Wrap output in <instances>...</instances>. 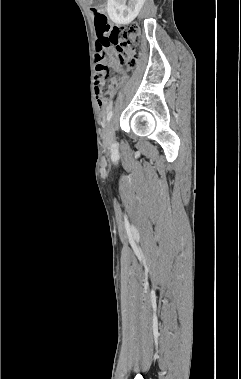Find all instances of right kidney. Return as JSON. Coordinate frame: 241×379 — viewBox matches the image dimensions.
I'll return each mask as SVG.
<instances>
[{"instance_id": "ca27d5eb", "label": "right kidney", "mask_w": 241, "mask_h": 379, "mask_svg": "<svg viewBox=\"0 0 241 379\" xmlns=\"http://www.w3.org/2000/svg\"><path fill=\"white\" fill-rule=\"evenodd\" d=\"M145 0H108L107 13L116 24L127 25L139 14Z\"/></svg>"}]
</instances>
